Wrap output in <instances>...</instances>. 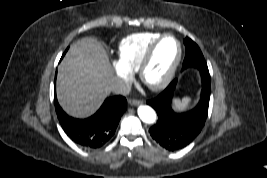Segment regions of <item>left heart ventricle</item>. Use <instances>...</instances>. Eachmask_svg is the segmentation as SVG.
Returning <instances> with one entry per match:
<instances>
[{"label":"left heart ventricle","mask_w":267,"mask_h":178,"mask_svg":"<svg viewBox=\"0 0 267 178\" xmlns=\"http://www.w3.org/2000/svg\"><path fill=\"white\" fill-rule=\"evenodd\" d=\"M178 53V45L173 38L164 39L157 47L154 56L145 71V80L149 84L160 82L170 70Z\"/></svg>","instance_id":"left-heart-ventricle-1"}]
</instances>
